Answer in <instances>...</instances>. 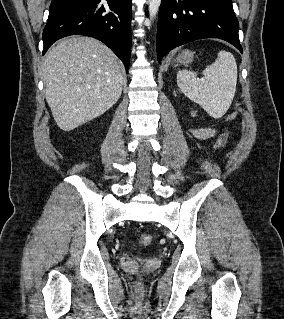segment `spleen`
Wrapping results in <instances>:
<instances>
[{
    "label": "spleen",
    "instance_id": "obj_1",
    "mask_svg": "<svg viewBox=\"0 0 284 319\" xmlns=\"http://www.w3.org/2000/svg\"><path fill=\"white\" fill-rule=\"evenodd\" d=\"M202 73L203 79H198L195 72L179 71L178 87L211 117L220 118L229 109L236 91V60L232 53L222 50L215 62L207 66Z\"/></svg>",
    "mask_w": 284,
    "mask_h": 319
}]
</instances>
